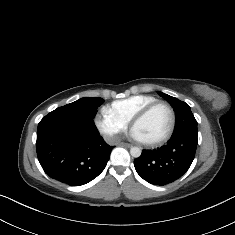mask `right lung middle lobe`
<instances>
[{
	"label": "right lung middle lobe",
	"instance_id": "dd1d6c3e",
	"mask_svg": "<svg viewBox=\"0 0 235 235\" xmlns=\"http://www.w3.org/2000/svg\"><path fill=\"white\" fill-rule=\"evenodd\" d=\"M103 102L104 100L100 97H84L73 103L67 104L63 107H59L58 109L76 112L93 119L97 112V108Z\"/></svg>",
	"mask_w": 235,
	"mask_h": 235
}]
</instances>
